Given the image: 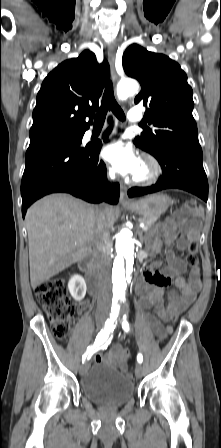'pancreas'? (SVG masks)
Instances as JSON below:
<instances>
[{
  "label": "pancreas",
  "instance_id": "1",
  "mask_svg": "<svg viewBox=\"0 0 221 448\" xmlns=\"http://www.w3.org/2000/svg\"><path fill=\"white\" fill-rule=\"evenodd\" d=\"M158 219L159 216H148V217H140L138 221L140 223L146 224L148 228H151Z\"/></svg>",
  "mask_w": 221,
  "mask_h": 448
}]
</instances>
